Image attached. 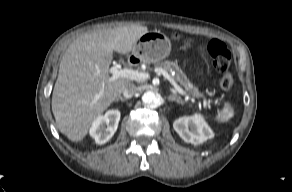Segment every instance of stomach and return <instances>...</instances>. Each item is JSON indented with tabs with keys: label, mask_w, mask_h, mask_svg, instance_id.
Masks as SVG:
<instances>
[{
	"label": "stomach",
	"mask_w": 292,
	"mask_h": 192,
	"mask_svg": "<svg viewBox=\"0 0 292 192\" xmlns=\"http://www.w3.org/2000/svg\"><path fill=\"white\" fill-rule=\"evenodd\" d=\"M171 51L169 38L160 31H150L141 36L133 46V54L146 63H157Z\"/></svg>",
	"instance_id": "1"
}]
</instances>
